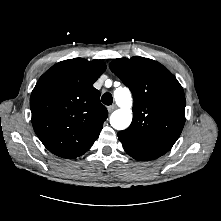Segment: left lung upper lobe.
<instances>
[{"label":"left lung upper lobe","instance_id":"obj_1","mask_svg":"<svg viewBox=\"0 0 221 221\" xmlns=\"http://www.w3.org/2000/svg\"><path fill=\"white\" fill-rule=\"evenodd\" d=\"M109 67L134 98L133 120L118 133L120 141L145 158L162 156L172 148L184 126L182 86L168 69L148 58H119Z\"/></svg>","mask_w":221,"mask_h":221}]
</instances>
